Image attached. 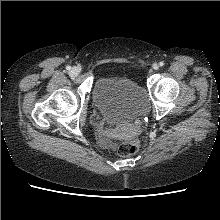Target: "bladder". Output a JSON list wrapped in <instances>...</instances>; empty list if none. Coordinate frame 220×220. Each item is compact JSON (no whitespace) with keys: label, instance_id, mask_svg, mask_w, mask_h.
<instances>
[{"label":"bladder","instance_id":"bladder-1","mask_svg":"<svg viewBox=\"0 0 220 220\" xmlns=\"http://www.w3.org/2000/svg\"><path fill=\"white\" fill-rule=\"evenodd\" d=\"M93 100L107 121L131 123L148 111L144 88L135 80L122 75H105L97 79Z\"/></svg>","mask_w":220,"mask_h":220}]
</instances>
